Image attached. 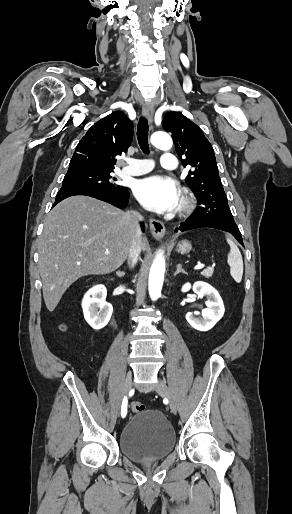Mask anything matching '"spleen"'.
<instances>
[{
  "label": "spleen",
  "mask_w": 292,
  "mask_h": 514,
  "mask_svg": "<svg viewBox=\"0 0 292 514\" xmlns=\"http://www.w3.org/2000/svg\"><path fill=\"white\" fill-rule=\"evenodd\" d=\"M227 242L230 246V252L228 254V264L230 266V274L237 282V284H240L243 276V260L242 256L236 246L234 244L233 240H230V238H227Z\"/></svg>",
  "instance_id": "1"
}]
</instances>
